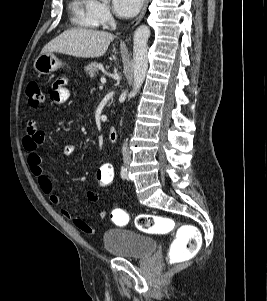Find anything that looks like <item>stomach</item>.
Listing matches in <instances>:
<instances>
[{
	"label": "stomach",
	"mask_w": 267,
	"mask_h": 301,
	"mask_svg": "<svg viewBox=\"0 0 267 301\" xmlns=\"http://www.w3.org/2000/svg\"><path fill=\"white\" fill-rule=\"evenodd\" d=\"M62 66V63L52 53H41L34 62L35 70L40 74H49Z\"/></svg>",
	"instance_id": "0dacf381"
}]
</instances>
